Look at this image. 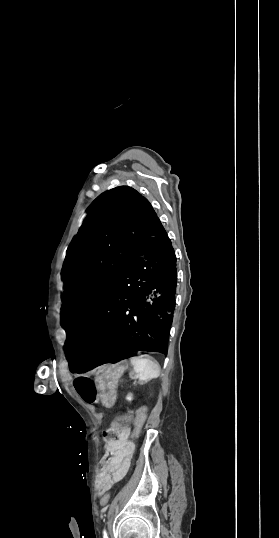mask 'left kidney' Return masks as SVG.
Returning <instances> with one entry per match:
<instances>
[{"mask_svg": "<svg viewBox=\"0 0 279 538\" xmlns=\"http://www.w3.org/2000/svg\"><path fill=\"white\" fill-rule=\"evenodd\" d=\"M126 400H132L131 396H127Z\"/></svg>", "mask_w": 279, "mask_h": 538, "instance_id": "1", "label": "left kidney"}]
</instances>
